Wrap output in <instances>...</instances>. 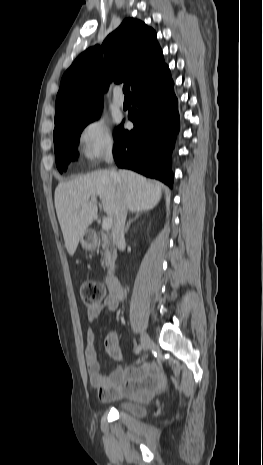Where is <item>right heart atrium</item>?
Returning <instances> with one entry per match:
<instances>
[{
  "label": "right heart atrium",
  "instance_id": "obj_1",
  "mask_svg": "<svg viewBox=\"0 0 263 465\" xmlns=\"http://www.w3.org/2000/svg\"><path fill=\"white\" fill-rule=\"evenodd\" d=\"M78 147L88 162H98L114 148V139L106 119L96 115L87 120L78 133Z\"/></svg>",
  "mask_w": 263,
  "mask_h": 465
}]
</instances>
